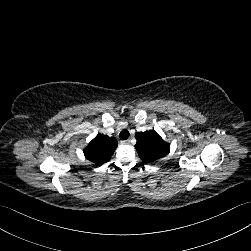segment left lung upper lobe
Returning a JSON list of instances; mask_svg holds the SVG:
<instances>
[{
	"mask_svg": "<svg viewBox=\"0 0 251 251\" xmlns=\"http://www.w3.org/2000/svg\"><path fill=\"white\" fill-rule=\"evenodd\" d=\"M135 148L144 163H155L170 151L169 143L165 142L154 130L138 132L135 135Z\"/></svg>",
	"mask_w": 251,
	"mask_h": 251,
	"instance_id": "1",
	"label": "left lung upper lobe"
}]
</instances>
